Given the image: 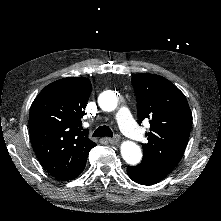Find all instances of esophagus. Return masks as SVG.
Masks as SVG:
<instances>
[{
	"mask_svg": "<svg viewBox=\"0 0 221 221\" xmlns=\"http://www.w3.org/2000/svg\"><path fill=\"white\" fill-rule=\"evenodd\" d=\"M120 137L118 134H115L113 138H106V140L110 143V144H115L119 141Z\"/></svg>",
	"mask_w": 221,
	"mask_h": 221,
	"instance_id": "obj_1",
	"label": "esophagus"
}]
</instances>
